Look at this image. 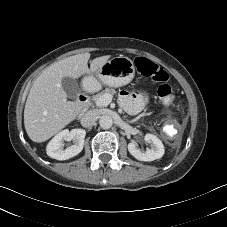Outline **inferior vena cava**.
I'll use <instances>...</instances> for the list:
<instances>
[{"label":"inferior vena cava","mask_w":227,"mask_h":227,"mask_svg":"<svg viewBox=\"0 0 227 227\" xmlns=\"http://www.w3.org/2000/svg\"><path fill=\"white\" fill-rule=\"evenodd\" d=\"M98 113L95 110H89L81 117V125L83 127H90L96 121Z\"/></svg>","instance_id":"1"}]
</instances>
